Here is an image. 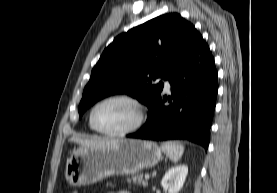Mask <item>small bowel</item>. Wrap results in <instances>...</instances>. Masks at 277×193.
Masks as SVG:
<instances>
[{
    "mask_svg": "<svg viewBox=\"0 0 277 193\" xmlns=\"http://www.w3.org/2000/svg\"><path fill=\"white\" fill-rule=\"evenodd\" d=\"M109 193H130V192L126 191V190H119V191H112V192H109Z\"/></svg>",
    "mask_w": 277,
    "mask_h": 193,
    "instance_id": "obj_1",
    "label": "small bowel"
}]
</instances>
